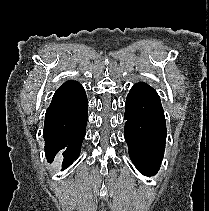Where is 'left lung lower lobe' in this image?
Returning a JSON list of instances; mask_svg holds the SVG:
<instances>
[{
	"mask_svg": "<svg viewBox=\"0 0 209 211\" xmlns=\"http://www.w3.org/2000/svg\"><path fill=\"white\" fill-rule=\"evenodd\" d=\"M124 119V136L129 155L144 175L158 172L166 142V122L160 97L148 84L139 82L131 88Z\"/></svg>",
	"mask_w": 209,
	"mask_h": 211,
	"instance_id": "left-lung-lower-lobe-1",
	"label": "left lung lower lobe"
}]
</instances>
